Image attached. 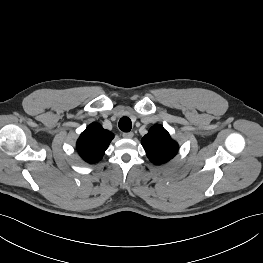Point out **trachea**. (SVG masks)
Masks as SVG:
<instances>
[{"instance_id":"obj_1","label":"trachea","mask_w":263,"mask_h":263,"mask_svg":"<svg viewBox=\"0 0 263 263\" xmlns=\"http://www.w3.org/2000/svg\"><path fill=\"white\" fill-rule=\"evenodd\" d=\"M132 128L131 120L128 117H123L119 121V129L123 132H129Z\"/></svg>"}]
</instances>
